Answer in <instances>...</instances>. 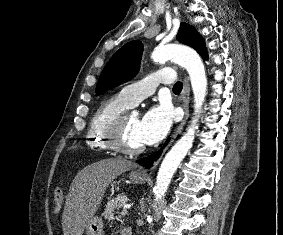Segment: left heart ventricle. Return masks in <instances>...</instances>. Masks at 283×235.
<instances>
[{"mask_svg":"<svg viewBox=\"0 0 283 235\" xmlns=\"http://www.w3.org/2000/svg\"><path fill=\"white\" fill-rule=\"evenodd\" d=\"M139 117L129 115L124 129V143L130 148H136L143 145L138 133Z\"/></svg>","mask_w":283,"mask_h":235,"instance_id":"obj_1","label":"left heart ventricle"}]
</instances>
